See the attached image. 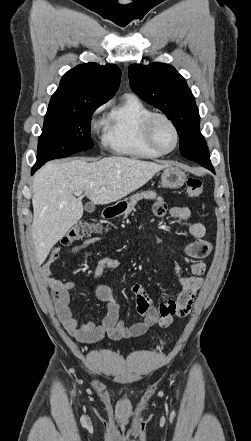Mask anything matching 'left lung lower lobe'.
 Here are the masks:
<instances>
[{"mask_svg": "<svg viewBox=\"0 0 251 441\" xmlns=\"http://www.w3.org/2000/svg\"><path fill=\"white\" fill-rule=\"evenodd\" d=\"M195 144L197 146H203L201 154H203V157L205 158V161L199 160V164L201 166H204L205 168H208V169H210L211 171L214 172L213 166H212V164L210 162V157H209V154H208L206 143L204 141V137L202 135H199L198 141H196Z\"/></svg>", "mask_w": 251, "mask_h": 441, "instance_id": "left-lung-lower-lobe-1", "label": "left lung lower lobe"}]
</instances>
